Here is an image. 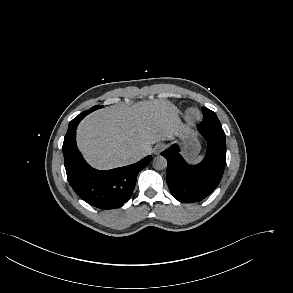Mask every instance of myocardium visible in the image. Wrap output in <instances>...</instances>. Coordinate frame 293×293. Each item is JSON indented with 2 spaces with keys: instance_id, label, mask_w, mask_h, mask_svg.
Instances as JSON below:
<instances>
[{
  "instance_id": "f54148a6",
  "label": "myocardium",
  "mask_w": 293,
  "mask_h": 293,
  "mask_svg": "<svg viewBox=\"0 0 293 293\" xmlns=\"http://www.w3.org/2000/svg\"><path fill=\"white\" fill-rule=\"evenodd\" d=\"M185 118L188 122H195L200 118L198 110L191 108L187 110Z\"/></svg>"
}]
</instances>
